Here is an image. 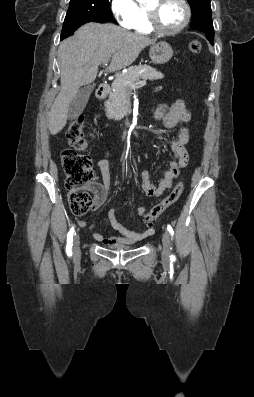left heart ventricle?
I'll return each instance as SVG.
<instances>
[{
	"mask_svg": "<svg viewBox=\"0 0 254 397\" xmlns=\"http://www.w3.org/2000/svg\"><path fill=\"white\" fill-rule=\"evenodd\" d=\"M148 7L155 11L158 24L165 29L177 27L184 17V9L177 0H152Z\"/></svg>",
	"mask_w": 254,
	"mask_h": 397,
	"instance_id": "1",
	"label": "left heart ventricle"
}]
</instances>
